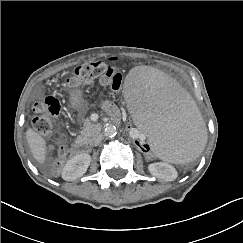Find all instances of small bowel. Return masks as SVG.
I'll return each mask as SVG.
<instances>
[{
	"instance_id": "c3829d8e",
	"label": "small bowel",
	"mask_w": 243,
	"mask_h": 243,
	"mask_svg": "<svg viewBox=\"0 0 243 243\" xmlns=\"http://www.w3.org/2000/svg\"><path fill=\"white\" fill-rule=\"evenodd\" d=\"M103 107L107 112H109L111 114H115V112H116V107L110 100L104 101Z\"/></svg>"
}]
</instances>
